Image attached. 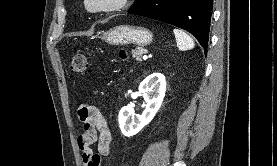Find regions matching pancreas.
<instances>
[{
  "instance_id": "obj_1",
  "label": "pancreas",
  "mask_w": 277,
  "mask_h": 166,
  "mask_svg": "<svg viewBox=\"0 0 277 166\" xmlns=\"http://www.w3.org/2000/svg\"><path fill=\"white\" fill-rule=\"evenodd\" d=\"M146 52H147V50H146V49H143V48L133 49V50H132V56H133L134 58H136V60H140L141 55H142L143 53H146Z\"/></svg>"
}]
</instances>
